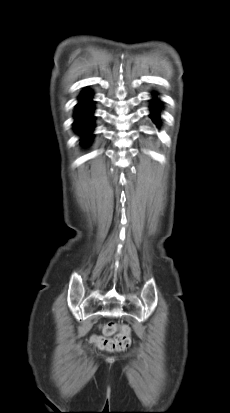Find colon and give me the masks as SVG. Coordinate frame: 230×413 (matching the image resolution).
<instances>
[{
    "mask_svg": "<svg viewBox=\"0 0 230 413\" xmlns=\"http://www.w3.org/2000/svg\"><path fill=\"white\" fill-rule=\"evenodd\" d=\"M103 335L96 336L92 342L101 350L109 352H119L127 350L131 345L130 329L122 326L118 331L115 322H108L102 327Z\"/></svg>",
    "mask_w": 230,
    "mask_h": 413,
    "instance_id": "obj_1",
    "label": "colon"
}]
</instances>
